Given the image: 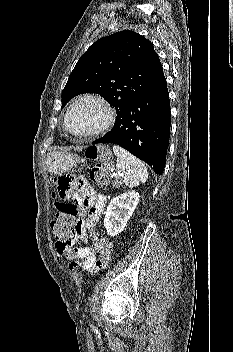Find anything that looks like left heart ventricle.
Here are the masks:
<instances>
[{"label":"left heart ventricle","mask_w":233,"mask_h":352,"mask_svg":"<svg viewBox=\"0 0 233 352\" xmlns=\"http://www.w3.org/2000/svg\"><path fill=\"white\" fill-rule=\"evenodd\" d=\"M105 118L103 108L93 101L76 105L70 115V124L77 132H88L99 126Z\"/></svg>","instance_id":"obj_1"}]
</instances>
